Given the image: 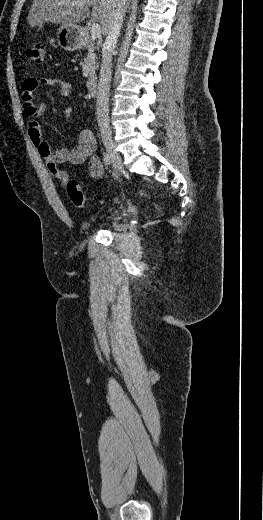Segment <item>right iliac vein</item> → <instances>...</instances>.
I'll use <instances>...</instances> for the list:
<instances>
[{
	"mask_svg": "<svg viewBox=\"0 0 263 520\" xmlns=\"http://www.w3.org/2000/svg\"><path fill=\"white\" fill-rule=\"evenodd\" d=\"M102 140H103L104 146L106 148V151H107L109 157L111 158L113 167L115 169V176L117 177L118 172L123 168V163H122L121 157L118 154V152L115 150L111 135L108 131L102 132Z\"/></svg>",
	"mask_w": 263,
	"mask_h": 520,
	"instance_id": "63e3f726",
	"label": "right iliac vein"
}]
</instances>
